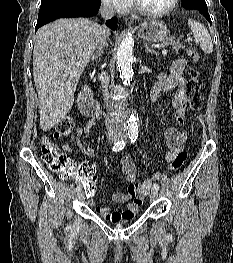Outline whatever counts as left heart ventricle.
Instances as JSON below:
<instances>
[{"instance_id": "left-heart-ventricle-1", "label": "left heart ventricle", "mask_w": 233, "mask_h": 263, "mask_svg": "<svg viewBox=\"0 0 233 263\" xmlns=\"http://www.w3.org/2000/svg\"><path fill=\"white\" fill-rule=\"evenodd\" d=\"M137 2L148 11H161L169 6L171 0H137Z\"/></svg>"}]
</instances>
